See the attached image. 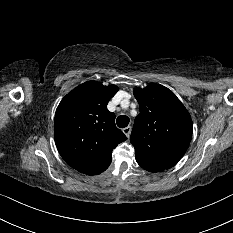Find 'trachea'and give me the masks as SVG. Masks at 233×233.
Segmentation results:
<instances>
[{
  "instance_id": "obj_1",
  "label": "trachea",
  "mask_w": 233,
  "mask_h": 233,
  "mask_svg": "<svg viewBox=\"0 0 233 233\" xmlns=\"http://www.w3.org/2000/svg\"><path fill=\"white\" fill-rule=\"evenodd\" d=\"M116 123L119 128H125L129 124V118L125 115H120L118 116Z\"/></svg>"
}]
</instances>
